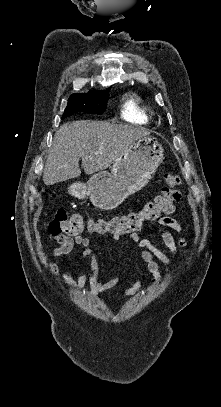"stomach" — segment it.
I'll list each match as a JSON object with an SVG mask.
<instances>
[{
  "mask_svg": "<svg viewBox=\"0 0 221 407\" xmlns=\"http://www.w3.org/2000/svg\"><path fill=\"white\" fill-rule=\"evenodd\" d=\"M163 158L164 149L158 139L143 136L113 163L110 172H98L87 183L71 184L69 193L78 199L89 197L95 207L111 210L145 187Z\"/></svg>",
  "mask_w": 221,
  "mask_h": 407,
  "instance_id": "obj_1",
  "label": "stomach"
}]
</instances>
